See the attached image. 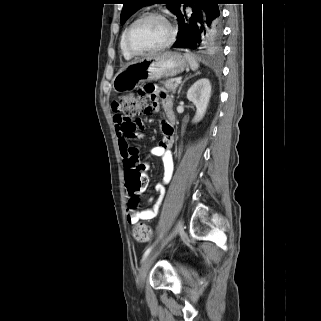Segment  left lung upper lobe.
Segmentation results:
<instances>
[{"instance_id": "obj_1", "label": "left lung upper lobe", "mask_w": 321, "mask_h": 321, "mask_svg": "<svg viewBox=\"0 0 321 321\" xmlns=\"http://www.w3.org/2000/svg\"><path fill=\"white\" fill-rule=\"evenodd\" d=\"M184 0H124L123 9L120 15L121 24L145 5L165 3L167 7L176 15Z\"/></svg>"}]
</instances>
